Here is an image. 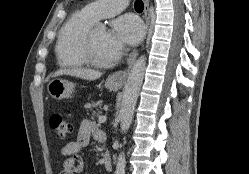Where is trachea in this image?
<instances>
[{"mask_svg": "<svg viewBox=\"0 0 249 174\" xmlns=\"http://www.w3.org/2000/svg\"><path fill=\"white\" fill-rule=\"evenodd\" d=\"M134 6L137 12H142L144 9V4L142 0H136Z\"/></svg>", "mask_w": 249, "mask_h": 174, "instance_id": "1", "label": "trachea"}]
</instances>
